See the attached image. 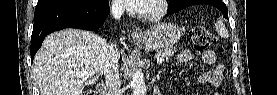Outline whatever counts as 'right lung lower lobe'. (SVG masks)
<instances>
[{
	"label": "right lung lower lobe",
	"mask_w": 277,
	"mask_h": 95,
	"mask_svg": "<svg viewBox=\"0 0 277 95\" xmlns=\"http://www.w3.org/2000/svg\"><path fill=\"white\" fill-rule=\"evenodd\" d=\"M109 14L108 0L51 3L36 6L31 36V61L44 38L64 28L97 31Z\"/></svg>",
	"instance_id": "1"
}]
</instances>
